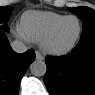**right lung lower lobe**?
I'll return each instance as SVG.
<instances>
[{
  "label": "right lung lower lobe",
  "instance_id": "98d812e1",
  "mask_svg": "<svg viewBox=\"0 0 95 95\" xmlns=\"http://www.w3.org/2000/svg\"><path fill=\"white\" fill-rule=\"evenodd\" d=\"M32 50L15 53L7 38H0V95H17L20 81L29 65L34 61Z\"/></svg>",
  "mask_w": 95,
  "mask_h": 95
}]
</instances>
